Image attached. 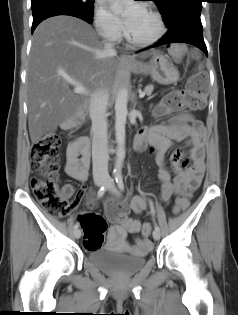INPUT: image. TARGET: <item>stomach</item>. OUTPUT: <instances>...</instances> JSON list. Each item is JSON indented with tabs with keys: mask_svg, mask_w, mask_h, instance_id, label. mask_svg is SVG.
Listing matches in <instances>:
<instances>
[{
	"mask_svg": "<svg viewBox=\"0 0 238 315\" xmlns=\"http://www.w3.org/2000/svg\"><path fill=\"white\" fill-rule=\"evenodd\" d=\"M144 64V71H138V74H149L156 82L164 85L172 84L178 81L179 72L176 67L169 61L168 57L156 53Z\"/></svg>",
	"mask_w": 238,
	"mask_h": 315,
	"instance_id": "0dacf381",
	"label": "stomach"
}]
</instances>
